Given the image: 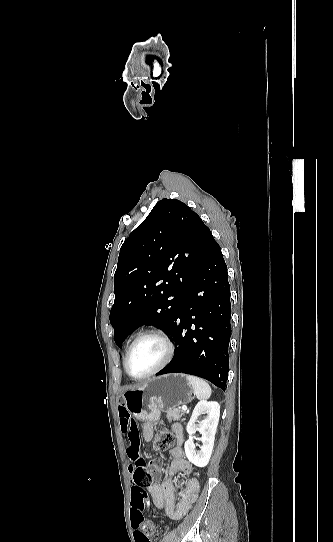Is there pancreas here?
I'll return each mask as SVG.
<instances>
[{"instance_id": "1", "label": "pancreas", "mask_w": 333, "mask_h": 542, "mask_svg": "<svg viewBox=\"0 0 333 542\" xmlns=\"http://www.w3.org/2000/svg\"><path fill=\"white\" fill-rule=\"evenodd\" d=\"M184 410H178V408H173V410H167L166 418L167 420H173V422H178L182 416H184Z\"/></svg>"}]
</instances>
